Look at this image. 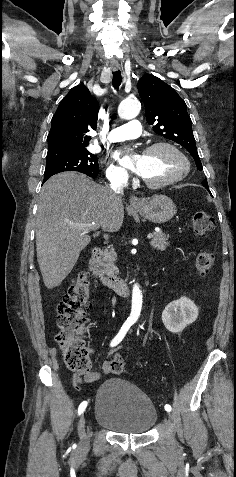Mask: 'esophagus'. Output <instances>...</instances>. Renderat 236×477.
<instances>
[{"label":"esophagus","instance_id":"esophagus-1","mask_svg":"<svg viewBox=\"0 0 236 477\" xmlns=\"http://www.w3.org/2000/svg\"><path fill=\"white\" fill-rule=\"evenodd\" d=\"M111 68L112 70L117 71L120 68V66L119 64H112ZM129 201H130V204L135 208H139L143 204L142 200L136 196H131Z\"/></svg>","mask_w":236,"mask_h":477}]
</instances>
